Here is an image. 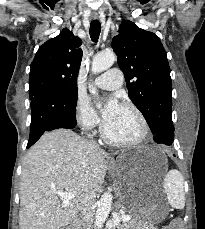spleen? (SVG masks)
Returning <instances> with one entry per match:
<instances>
[{
	"label": "spleen",
	"mask_w": 205,
	"mask_h": 229,
	"mask_svg": "<svg viewBox=\"0 0 205 229\" xmlns=\"http://www.w3.org/2000/svg\"><path fill=\"white\" fill-rule=\"evenodd\" d=\"M163 187L170 206L175 209H183L185 206V193L182 174L176 169L169 170L165 175Z\"/></svg>",
	"instance_id": "1"
}]
</instances>
